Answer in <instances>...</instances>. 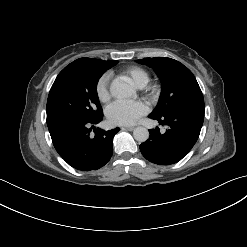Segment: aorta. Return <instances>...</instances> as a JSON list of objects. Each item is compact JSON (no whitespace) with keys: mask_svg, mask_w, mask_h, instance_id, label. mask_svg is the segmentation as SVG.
Returning <instances> with one entry per match:
<instances>
[{"mask_svg":"<svg viewBox=\"0 0 247 247\" xmlns=\"http://www.w3.org/2000/svg\"><path fill=\"white\" fill-rule=\"evenodd\" d=\"M110 93L114 98L124 100L132 97L135 90L131 84L116 79L111 84ZM133 136L136 141L145 142L149 138V131L145 127L139 126L134 129Z\"/></svg>","mask_w":247,"mask_h":247,"instance_id":"aorta-1","label":"aorta"}]
</instances>
